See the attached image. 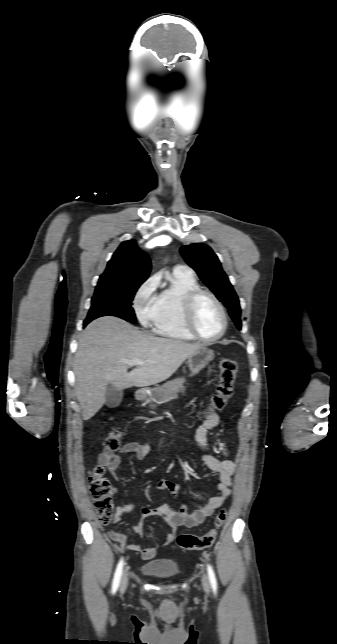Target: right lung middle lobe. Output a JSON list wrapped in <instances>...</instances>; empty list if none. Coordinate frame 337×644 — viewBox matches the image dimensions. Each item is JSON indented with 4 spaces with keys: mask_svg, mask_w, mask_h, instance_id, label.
<instances>
[{
    "mask_svg": "<svg viewBox=\"0 0 337 644\" xmlns=\"http://www.w3.org/2000/svg\"><path fill=\"white\" fill-rule=\"evenodd\" d=\"M141 284L97 285L84 325L98 317L108 315L135 323L136 317L132 308V301Z\"/></svg>",
    "mask_w": 337,
    "mask_h": 644,
    "instance_id": "1",
    "label": "right lung middle lobe"
}]
</instances>
